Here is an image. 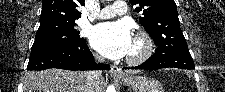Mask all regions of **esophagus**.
<instances>
[{"instance_id":"esophagus-1","label":"esophagus","mask_w":225,"mask_h":92,"mask_svg":"<svg viewBox=\"0 0 225 92\" xmlns=\"http://www.w3.org/2000/svg\"><path fill=\"white\" fill-rule=\"evenodd\" d=\"M110 74L111 75H115V76H122L123 75V72H122V70L118 66L111 65Z\"/></svg>"}]
</instances>
